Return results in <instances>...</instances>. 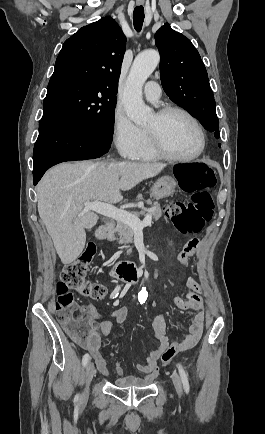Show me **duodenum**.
Segmentation results:
<instances>
[{"label":"duodenum","mask_w":265,"mask_h":434,"mask_svg":"<svg viewBox=\"0 0 265 434\" xmlns=\"http://www.w3.org/2000/svg\"><path fill=\"white\" fill-rule=\"evenodd\" d=\"M114 231V225L103 224L96 229L95 236L100 240ZM110 272L124 282L135 284L140 281L138 266L134 263L117 261L110 267Z\"/></svg>","instance_id":"duodenum-1"}]
</instances>
